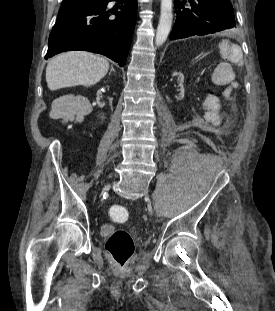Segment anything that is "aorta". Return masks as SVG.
I'll return each instance as SVG.
<instances>
[{
  "label": "aorta",
  "instance_id": "obj_1",
  "mask_svg": "<svg viewBox=\"0 0 275 311\" xmlns=\"http://www.w3.org/2000/svg\"><path fill=\"white\" fill-rule=\"evenodd\" d=\"M173 21L172 0H161L160 20L155 38L156 46H161L166 41Z\"/></svg>",
  "mask_w": 275,
  "mask_h": 311
}]
</instances>
